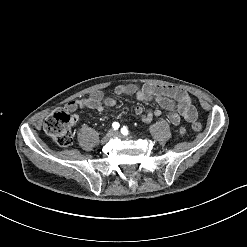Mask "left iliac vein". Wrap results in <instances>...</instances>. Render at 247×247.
<instances>
[{
  "label": "left iliac vein",
  "instance_id": "obj_1",
  "mask_svg": "<svg viewBox=\"0 0 247 247\" xmlns=\"http://www.w3.org/2000/svg\"><path fill=\"white\" fill-rule=\"evenodd\" d=\"M115 134H116V136H118V137L121 136L120 132H118V131H116ZM127 138H130V137H127Z\"/></svg>",
  "mask_w": 247,
  "mask_h": 247
}]
</instances>
